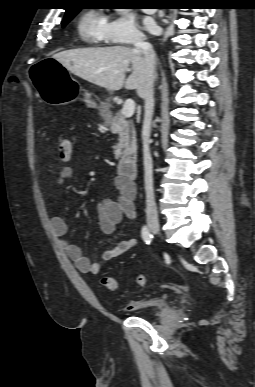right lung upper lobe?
Instances as JSON below:
<instances>
[{
  "label": "right lung upper lobe",
  "instance_id": "right-lung-upper-lobe-1",
  "mask_svg": "<svg viewBox=\"0 0 255 387\" xmlns=\"http://www.w3.org/2000/svg\"><path fill=\"white\" fill-rule=\"evenodd\" d=\"M74 8H75V7H74ZM70 9H72V8H67V11L70 10ZM67 11H66V12H67Z\"/></svg>",
  "mask_w": 255,
  "mask_h": 387
}]
</instances>
